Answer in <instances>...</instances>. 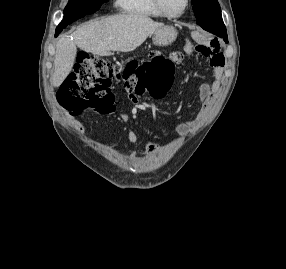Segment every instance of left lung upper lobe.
Wrapping results in <instances>:
<instances>
[{
  "label": "left lung upper lobe",
  "mask_w": 286,
  "mask_h": 269,
  "mask_svg": "<svg viewBox=\"0 0 286 269\" xmlns=\"http://www.w3.org/2000/svg\"><path fill=\"white\" fill-rule=\"evenodd\" d=\"M192 2L198 25L217 36L227 34L217 0H192Z\"/></svg>",
  "instance_id": "left-lung-upper-lobe-1"
}]
</instances>
